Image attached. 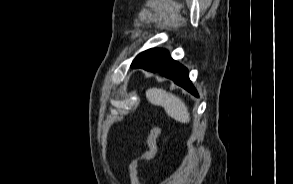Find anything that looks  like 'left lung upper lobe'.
Masks as SVG:
<instances>
[{
    "mask_svg": "<svg viewBox=\"0 0 293 184\" xmlns=\"http://www.w3.org/2000/svg\"><path fill=\"white\" fill-rule=\"evenodd\" d=\"M147 56H148L147 51L140 53V54L134 59L132 65L138 63L139 61L143 60V59L146 58Z\"/></svg>",
    "mask_w": 293,
    "mask_h": 184,
    "instance_id": "5c2ea615",
    "label": "left lung upper lobe"
}]
</instances>
